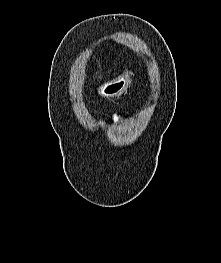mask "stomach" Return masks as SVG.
Returning <instances> with one entry per match:
<instances>
[{
    "instance_id": "obj_1",
    "label": "stomach",
    "mask_w": 221,
    "mask_h": 263,
    "mask_svg": "<svg viewBox=\"0 0 221 263\" xmlns=\"http://www.w3.org/2000/svg\"><path fill=\"white\" fill-rule=\"evenodd\" d=\"M131 75L130 71H125L118 78L103 83L98 87V94L107 98L122 95L130 86Z\"/></svg>"
}]
</instances>
